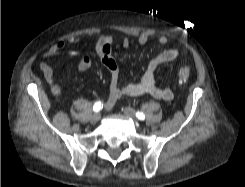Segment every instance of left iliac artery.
<instances>
[{"mask_svg": "<svg viewBox=\"0 0 245 187\" xmlns=\"http://www.w3.org/2000/svg\"><path fill=\"white\" fill-rule=\"evenodd\" d=\"M136 117H137L139 120H144V119H145V115H144L142 112H137V113H136Z\"/></svg>", "mask_w": 245, "mask_h": 187, "instance_id": "left-iliac-artery-1", "label": "left iliac artery"}]
</instances>
